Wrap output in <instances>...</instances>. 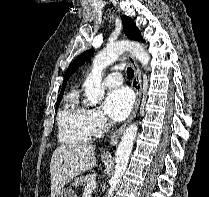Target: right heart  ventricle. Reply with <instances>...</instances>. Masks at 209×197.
I'll return each instance as SVG.
<instances>
[{"label": "right heart ventricle", "mask_w": 209, "mask_h": 197, "mask_svg": "<svg viewBox=\"0 0 209 197\" xmlns=\"http://www.w3.org/2000/svg\"><path fill=\"white\" fill-rule=\"evenodd\" d=\"M59 140L63 143L89 141L93 133L88 122V109L80 104L76 91L71 92L58 114Z\"/></svg>", "instance_id": "obj_1"}]
</instances>
